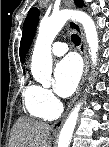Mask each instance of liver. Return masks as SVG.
Here are the masks:
<instances>
[{"instance_id": "6515ba94", "label": "liver", "mask_w": 109, "mask_h": 147, "mask_svg": "<svg viewBox=\"0 0 109 147\" xmlns=\"http://www.w3.org/2000/svg\"><path fill=\"white\" fill-rule=\"evenodd\" d=\"M50 126L29 118H19L13 125L8 147H49Z\"/></svg>"}]
</instances>
